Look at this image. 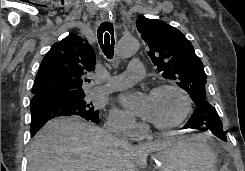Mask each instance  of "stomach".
I'll return each instance as SVG.
<instances>
[{
  "label": "stomach",
  "instance_id": "1",
  "mask_svg": "<svg viewBox=\"0 0 245 171\" xmlns=\"http://www.w3.org/2000/svg\"><path fill=\"white\" fill-rule=\"evenodd\" d=\"M159 171H216L218 146L209 133L176 139L155 156Z\"/></svg>",
  "mask_w": 245,
  "mask_h": 171
}]
</instances>
